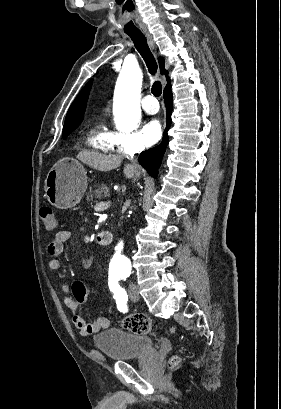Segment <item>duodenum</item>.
Segmentation results:
<instances>
[{
  "mask_svg": "<svg viewBox=\"0 0 281 409\" xmlns=\"http://www.w3.org/2000/svg\"><path fill=\"white\" fill-rule=\"evenodd\" d=\"M111 236L109 232H101L97 234L96 241L101 246L109 245L111 243Z\"/></svg>",
  "mask_w": 281,
  "mask_h": 409,
  "instance_id": "1",
  "label": "duodenum"
}]
</instances>
